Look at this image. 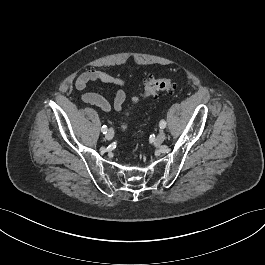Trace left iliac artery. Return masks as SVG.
Wrapping results in <instances>:
<instances>
[{"label":"left iliac artery","instance_id":"left-iliac-artery-1","mask_svg":"<svg viewBox=\"0 0 265 265\" xmlns=\"http://www.w3.org/2000/svg\"><path fill=\"white\" fill-rule=\"evenodd\" d=\"M159 125H160V128L164 129L166 127V121L161 120Z\"/></svg>","mask_w":265,"mask_h":265}]
</instances>
